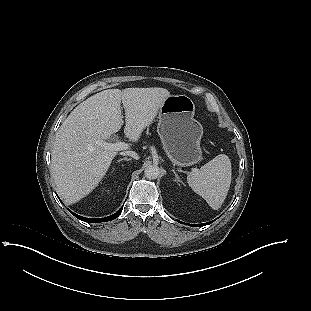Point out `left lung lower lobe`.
I'll return each instance as SVG.
<instances>
[{
    "label": "left lung lower lobe",
    "mask_w": 311,
    "mask_h": 311,
    "mask_svg": "<svg viewBox=\"0 0 311 311\" xmlns=\"http://www.w3.org/2000/svg\"><path fill=\"white\" fill-rule=\"evenodd\" d=\"M179 222L183 224V222H181V221H179ZM212 222H213V221L207 222V223H202V224H188V225H190V226H192V227H198V226H205V225H208V224H210V223H212Z\"/></svg>",
    "instance_id": "0a47b994"
}]
</instances>
